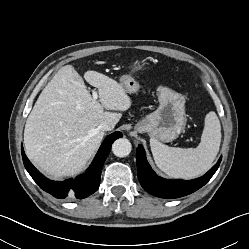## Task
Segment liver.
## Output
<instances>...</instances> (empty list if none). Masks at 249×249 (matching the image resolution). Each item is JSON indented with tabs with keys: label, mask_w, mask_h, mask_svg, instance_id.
Segmentation results:
<instances>
[{
	"label": "liver",
	"mask_w": 249,
	"mask_h": 249,
	"mask_svg": "<svg viewBox=\"0 0 249 249\" xmlns=\"http://www.w3.org/2000/svg\"><path fill=\"white\" fill-rule=\"evenodd\" d=\"M84 79L98 88L100 102L91 97L74 67L66 65L43 89L26 121V154L54 179L80 172L103 139L99 125L107 122L114 128L132 104L116 80L92 70Z\"/></svg>",
	"instance_id": "6515ba94"
}]
</instances>
